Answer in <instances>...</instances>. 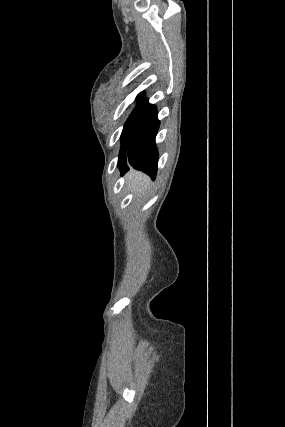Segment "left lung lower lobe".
Returning a JSON list of instances; mask_svg holds the SVG:
<instances>
[{
    "label": "left lung lower lobe",
    "instance_id": "left-lung-lower-lobe-1",
    "mask_svg": "<svg viewBox=\"0 0 285 427\" xmlns=\"http://www.w3.org/2000/svg\"><path fill=\"white\" fill-rule=\"evenodd\" d=\"M158 128L156 107L148 104L122 132L118 158L121 173L126 172L129 169L128 165H131L155 177L158 163L155 137Z\"/></svg>",
    "mask_w": 285,
    "mask_h": 427
}]
</instances>
